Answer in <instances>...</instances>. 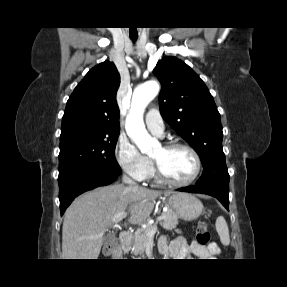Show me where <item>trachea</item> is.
Returning a JSON list of instances; mask_svg holds the SVG:
<instances>
[{"mask_svg":"<svg viewBox=\"0 0 287 287\" xmlns=\"http://www.w3.org/2000/svg\"><path fill=\"white\" fill-rule=\"evenodd\" d=\"M130 38L133 42H135L137 40L138 36H130Z\"/></svg>","mask_w":287,"mask_h":287,"instance_id":"obj_1","label":"trachea"}]
</instances>
